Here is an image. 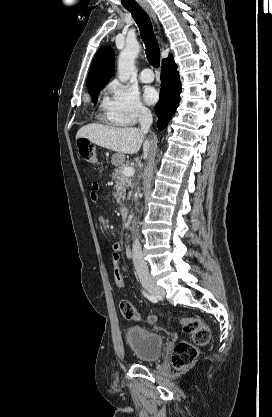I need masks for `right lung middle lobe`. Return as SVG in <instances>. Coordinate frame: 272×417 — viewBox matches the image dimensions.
I'll return each mask as SVG.
<instances>
[{"label": "right lung middle lobe", "mask_w": 272, "mask_h": 417, "mask_svg": "<svg viewBox=\"0 0 272 417\" xmlns=\"http://www.w3.org/2000/svg\"><path fill=\"white\" fill-rule=\"evenodd\" d=\"M101 89L95 90V91H91L89 92L92 98V101H96L98 98V93L100 92Z\"/></svg>", "instance_id": "right-lung-middle-lobe-1"}]
</instances>
